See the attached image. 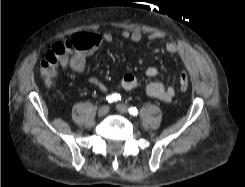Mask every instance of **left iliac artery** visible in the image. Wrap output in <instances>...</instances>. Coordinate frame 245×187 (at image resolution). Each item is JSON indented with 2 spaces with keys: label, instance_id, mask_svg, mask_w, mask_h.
I'll return each instance as SVG.
<instances>
[{
  "label": "left iliac artery",
  "instance_id": "44dca946",
  "mask_svg": "<svg viewBox=\"0 0 245 187\" xmlns=\"http://www.w3.org/2000/svg\"><path fill=\"white\" fill-rule=\"evenodd\" d=\"M129 113H130L131 115L137 116L138 110L136 109V107H130V108H129Z\"/></svg>",
  "mask_w": 245,
  "mask_h": 187
}]
</instances>
